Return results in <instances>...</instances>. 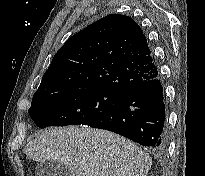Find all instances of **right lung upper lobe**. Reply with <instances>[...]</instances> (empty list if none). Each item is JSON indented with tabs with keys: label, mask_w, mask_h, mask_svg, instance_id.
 I'll return each instance as SVG.
<instances>
[{
	"label": "right lung upper lobe",
	"mask_w": 205,
	"mask_h": 176,
	"mask_svg": "<svg viewBox=\"0 0 205 176\" xmlns=\"http://www.w3.org/2000/svg\"><path fill=\"white\" fill-rule=\"evenodd\" d=\"M156 76L158 70L140 26L128 16L110 14L66 41L34 96L90 88L124 94Z\"/></svg>",
	"instance_id": "1"
}]
</instances>
